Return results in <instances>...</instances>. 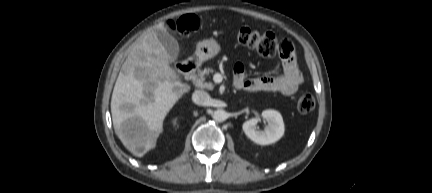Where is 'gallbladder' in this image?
Returning <instances> with one entry per match:
<instances>
[{
  "instance_id": "1",
  "label": "gallbladder",
  "mask_w": 432,
  "mask_h": 193,
  "mask_svg": "<svg viewBox=\"0 0 432 193\" xmlns=\"http://www.w3.org/2000/svg\"><path fill=\"white\" fill-rule=\"evenodd\" d=\"M155 33L160 43L167 51L169 61L174 62L178 58L179 54V45L177 40L165 29H158Z\"/></svg>"
}]
</instances>
